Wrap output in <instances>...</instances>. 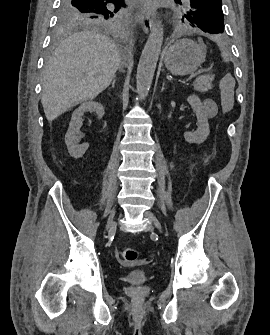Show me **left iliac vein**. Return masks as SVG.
<instances>
[{
    "label": "left iliac vein",
    "mask_w": 270,
    "mask_h": 335,
    "mask_svg": "<svg viewBox=\"0 0 270 335\" xmlns=\"http://www.w3.org/2000/svg\"><path fill=\"white\" fill-rule=\"evenodd\" d=\"M145 216L153 223V225L160 231L162 232V226L159 220L150 212L146 211Z\"/></svg>",
    "instance_id": "left-iliac-vein-1"
}]
</instances>
